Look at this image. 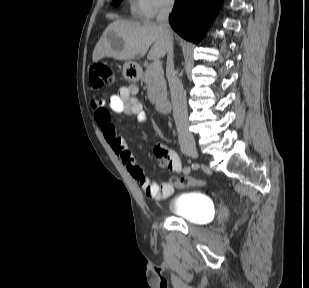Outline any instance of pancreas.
<instances>
[{
	"instance_id": "cf45deb5",
	"label": "pancreas",
	"mask_w": 309,
	"mask_h": 288,
	"mask_svg": "<svg viewBox=\"0 0 309 288\" xmlns=\"http://www.w3.org/2000/svg\"><path fill=\"white\" fill-rule=\"evenodd\" d=\"M142 81L147 85V96L151 103H158L166 98L167 87L162 68L153 69L151 64H147Z\"/></svg>"
}]
</instances>
